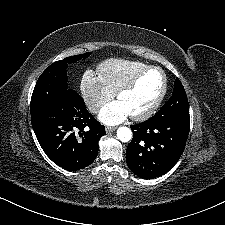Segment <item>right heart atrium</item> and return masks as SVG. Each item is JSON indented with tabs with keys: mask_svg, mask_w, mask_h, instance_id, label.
<instances>
[{
	"mask_svg": "<svg viewBox=\"0 0 225 225\" xmlns=\"http://www.w3.org/2000/svg\"><path fill=\"white\" fill-rule=\"evenodd\" d=\"M83 98L92 112H97L114 94L105 86L102 79L91 71H86L80 83Z\"/></svg>",
	"mask_w": 225,
	"mask_h": 225,
	"instance_id": "d8ad5b80",
	"label": "right heart atrium"
}]
</instances>
